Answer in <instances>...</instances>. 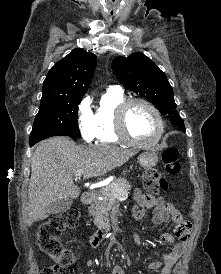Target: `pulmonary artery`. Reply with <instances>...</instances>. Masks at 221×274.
Wrapping results in <instances>:
<instances>
[{"mask_svg":"<svg viewBox=\"0 0 221 274\" xmlns=\"http://www.w3.org/2000/svg\"><path fill=\"white\" fill-rule=\"evenodd\" d=\"M111 88H117V89H120L119 87H111Z\"/></svg>","mask_w":221,"mask_h":274,"instance_id":"pulmonary-artery-1","label":"pulmonary artery"}]
</instances>
